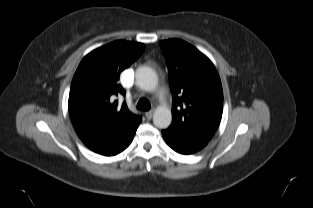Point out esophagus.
<instances>
[{"instance_id": "1", "label": "esophagus", "mask_w": 313, "mask_h": 208, "mask_svg": "<svg viewBox=\"0 0 313 208\" xmlns=\"http://www.w3.org/2000/svg\"><path fill=\"white\" fill-rule=\"evenodd\" d=\"M153 113H154L153 110H150V111L145 112L146 118H147L148 120H151L152 117H153Z\"/></svg>"}]
</instances>
